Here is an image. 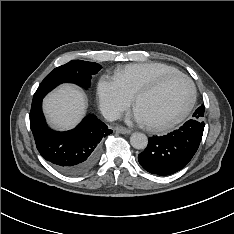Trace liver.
Listing matches in <instances>:
<instances>
[{
  "label": "liver",
  "mask_w": 234,
  "mask_h": 234,
  "mask_svg": "<svg viewBox=\"0 0 234 234\" xmlns=\"http://www.w3.org/2000/svg\"><path fill=\"white\" fill-rule=\"evenodd\" d=\"M86 97L73 85H62L50 93L43 102L49 123L61 130L73 128L85 114Z\"/></svg>",
  "instance_id": "liver-1"
}]
</instances>
